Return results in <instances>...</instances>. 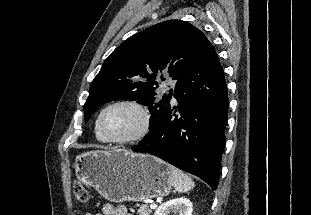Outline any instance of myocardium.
Returning <instances> with one entry per match:
<instances>
[{
  "label": "myocardium",
  "mask_w": 311,
  "mask_h": 215,
  "mask_svg": "<svg viewBox=\"0 0 311 215\" xmlns=\"http://www.w3.org/2000/svg\"><path fill=\"white\" fill-rule=\"evenodd\" d=\"M120 105L130 106V107L135 108L142 117V124L139 130L131 136L124 137V138L109 137L104 133L103 128H102L103 116L106 113V111L109 110L110 108L115 107V106H120ZM150 125H151V116L146 106L136 100H130V99H121V100H116V101L109 103L100 111L97 117V120H96L97 130L100 136L103 138V140L105 142H109L113 144H120V145L134 144L136 142L141 141L148 134L150 130Z\"/></svg>",
  "instance_id": "1"
}]
</instances>
